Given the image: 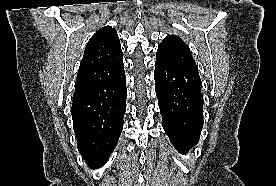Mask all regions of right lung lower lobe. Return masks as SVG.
<instances>
[{
	"label": "right lung lower lobe",
	"instance_id": "right-lung-lower-lobe-1",
	"mask_svg": "<svg viewBox=\"0 0 276 186\" xmlns=\"http://www.w3.org/2000/svg\"><path fill=\"white\" fill-rule=\"evenodd\" d=\"M125 73L118 79L75 89L71 108L77 147L91 169L103 166L117 145L126 110Z\"/></svg>",
	"mask_w": 276,
	"mask_h": 186
}]
</instances>
